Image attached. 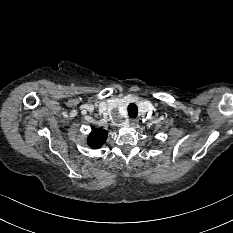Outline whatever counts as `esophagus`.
Wrapping results in <instances>:
<instances>
[{
  "label": "esophagus",
  "instance_id": "1",
  "mask_svg": "<svg viewBox=\"0 0 233 233\" xmlns=\"http://www.w3.org/2000/svg\"><path fill=\"white\" fill-rule=\"evenodd\" d=\"M129 123H130L131 127H134L137 124V120L136 119H131Z\"/></svg>",
  "mask_w": 233,
  "mask_h": 233
}]
</instances>
